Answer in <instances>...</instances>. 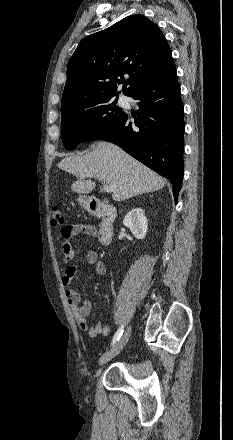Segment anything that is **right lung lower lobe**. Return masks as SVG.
I'll return each instance as SVG.
<instances>
[{
    "label": "right lung lower lobe",
    "instance_id": "98d812e1",
    "mask_svg": "<svg viewBox=\"0 0 233 440\" xmlns=\"http://www.w3.org/2000/svg\"><path fill=\"white\" fill-rule=\"evenodd\" d=\"M136 128L127 114L101 139L119 145L128 154L168 178L177 203L183 179L184 107L176 67L135 91Z\"/></svg>",
    "mask_w": 233,
    "mask_h": 440
}]
</instances>
